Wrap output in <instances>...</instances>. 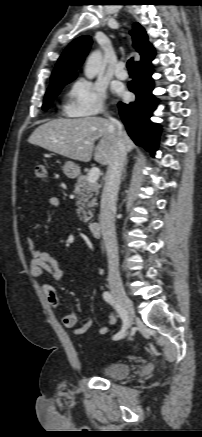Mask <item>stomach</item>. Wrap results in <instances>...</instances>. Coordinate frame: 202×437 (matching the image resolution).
Masks as SVG:
<instances>
[{"instance_id": "0dacf381", "label": "stomach", "mask_w": 202, "mask_h": 437, "mask_svg": "<svg viewBox=\"0 0 202 437\" xmlns=\"http://www.w3.org/2000/svg\"><path fill=\"white\" fill-rule=\"evenodd\" d=\"M62 170L68 178H75L80 174L79 166L71 161H67L62 167Z\"/></svg>"}]
</instances>
